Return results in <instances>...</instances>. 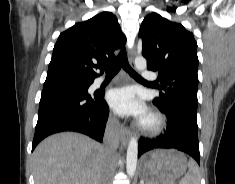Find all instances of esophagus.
I'll return each instance as SVG.
<instances>
[{
    "label": "esophagus",
    "instance_id": "obj_1",
    "mask_svg": "<svg viewBox=\"0 0 235 184\" xmlns=\"http://www.w3.org/2000/svg\"><path fill=\"white\" fill-rule=\"evenodd\" d=\"M134 59H135V53L134 51H130L129 54V64L131 66V68L135 69V63H134ZM125 80L128 81L129 77L126 75L125 76ZM131 138V132L128 129V127L126 125H124L122 123L121 127H120V139H121V148L120 149H124L127 147V144L129 142V139Z\"/></svg>",
    "mask_w": 235,
    "mask_h": 184
}]
</instances>
